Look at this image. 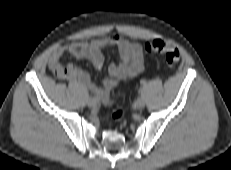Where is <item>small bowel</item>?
<instances>
[{"mask_svg": "<svg viewBox=\"0 0 231 170\" xmlns=\"http://www.w3.org/2000/svg\"><path fill=\"white\" fill-rule=\"evenodd\" d=\"M109 46H116L120 55L119 63L108 66V76L100 84L93 83L90 75L72 66L69 75L71 81L86 86L94 96L104 104L110 103V92L121 82H127L139 75L145 68L143 50L140 44L124 39L119 35H110L91 41L73 42L58 47L51 54L48 66L53 71L62 67L61 58L70 54L78 59L90 61L96 69H101L104 64L102 50Z\"/></svg>", "mask_w": 231, "mask_h": 170, "instance_id": "1", "label": "small bowel"}]
</instances>
